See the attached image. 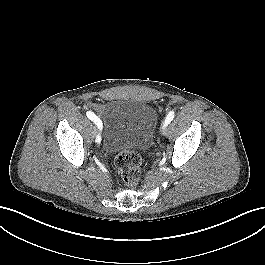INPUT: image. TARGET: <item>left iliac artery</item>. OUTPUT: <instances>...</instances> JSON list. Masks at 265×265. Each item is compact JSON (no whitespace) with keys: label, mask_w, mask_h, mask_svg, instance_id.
I'll list each match as a JSON object with an SVG mask.
<instances>
[{"label":"left iliac artery","mask_w":265,"mask_h":265,"mask_svg":"<svg viewBox=\"0 0 265 265\" xmlns=\"http://www.w3.org/2000/svg\"><path fill=\"white\" fill-rule=\"evenodd\" d=\"M174 116V111H170L165 119L164 125L167 126L173 120Z\"/></svg>","instance_id":"obj_1"}]
</instances>
